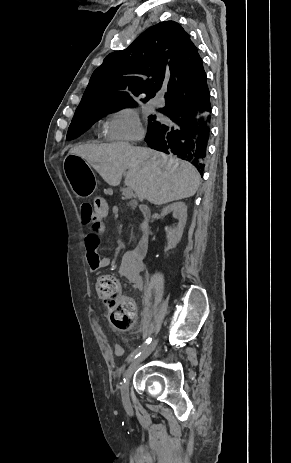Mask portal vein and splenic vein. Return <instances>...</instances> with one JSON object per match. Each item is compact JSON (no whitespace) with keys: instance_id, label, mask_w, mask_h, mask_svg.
Returning <instances> with one entry per match:
<instances>
[{"instance_id":"18ae733b","label":"portal vein and splenic vein","mask_w":291,"mask_h":463,"mask_svg":"<svg viewBox=\"0 0 291 463\" xmlns=\"http://www.w3.org/2000/svg\"><path fill=\"white\" fill-rule=\"evenodd\" d=\"M123 195L127 198V199H131L134 194H133V190L131 187L127 186L126 188L123 189Z\"/></svg>"}]
</instances>
